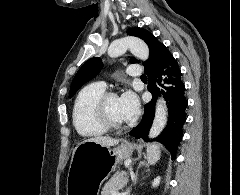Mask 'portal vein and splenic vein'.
<instances>
[{"mask_svg":"<svg viewBox=\"0 0 240 195\" xmlns=\"http://www.w3.org/2000/svg\"><path fill=\"white\" fill-rule=\"evenodd\" d=\"M131 175H133V171H130ZM114 195H121V193H114Z\"/></svg>","mask_w":240,"mask_h":195,"instance_id":"obj_1","label":"portal vein and splenic vein"}]
</instances>
